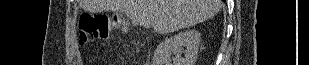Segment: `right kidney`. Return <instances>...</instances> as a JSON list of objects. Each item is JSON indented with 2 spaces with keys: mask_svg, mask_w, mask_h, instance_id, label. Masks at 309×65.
Segmentation results:
<instances>
[{
  "mask_svg": "<svg viewBox=\"0 0 309 65\" xmlns=\"http://www.w3.org/2000/svg\"><path fill=\"white\" fill-rule=\"evenodd\" d=\"M200 34L195 30H186L166 38L161 42L154 52L152 65H171V54L173 65H194L198 55ZM184 53V57L182 54Z\"/></svg>",
  "mask_w": 309,
  "mask_h": 65,
  "instance_id": "right-kidney-1",
  "label": "right kidney"
}]
</instances>
